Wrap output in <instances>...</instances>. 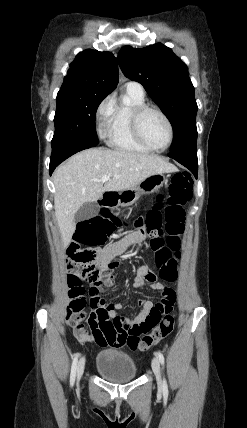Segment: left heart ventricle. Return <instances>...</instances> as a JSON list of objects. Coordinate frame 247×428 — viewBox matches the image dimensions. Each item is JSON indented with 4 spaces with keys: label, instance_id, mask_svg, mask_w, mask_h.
<instances>
[{
    "label": "left heart ventricle",
    "instance_id": "left-heart-ventricle-1",
    "mask_svg": "<svg viewBox=\"0 0 247 428\" xmlns=\"http://www.w3.org/2000/svg\"><path fill=\"white\" fill-rule=\"evenodd\" d=\"M141 130L147 142L156 148L163 147L169 137L164 119L154 111L146 112L141 119Z\"/></svg>",
    "mask_w": 247,
    "mask_h": 428
}]
</instances>
